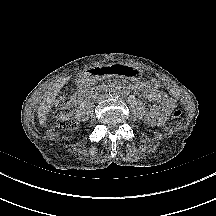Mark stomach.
I'll use <instances>...</instances> for the list:
<instances>
[{
  "label": "stomach",
  "instance_id": "stomach-1",
  "mask_svg": "<svg viewBox=\"0 0 216 216\" xmlns=\"http://www.w3.org/2000/svg\"><path fill=\"white\" fill-rule=\"evenodd\" d=\"M101 74L105 78L116 77V78H129L136 80L141 76V72L132 68L130 65H118V64H106L101 69Z\"/></svg>",
  "mask_w": 216,
  "mask_h": 216
}]
</instances>
